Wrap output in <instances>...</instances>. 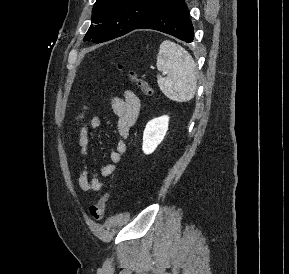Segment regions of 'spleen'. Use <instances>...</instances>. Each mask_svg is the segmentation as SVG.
Listing matches in <instances>:
<instances>
[{"label": "spleen", "mask_w": 289, "mask_h": 274, "mask_svg": "<svg viewBox=\"0 0 289 274\" xmlns=\"http://www.w3.org/2000/svg\"><path fill=\"white\" fill-rule=\"evenodd\" d=\"M160 90L177 102L191 100L197 90V68L192 56L180 45L165 40L161 43L156 63Z\"/></svg>", "instance_id": "1"}]
</instances>
